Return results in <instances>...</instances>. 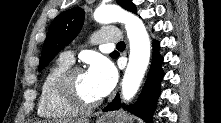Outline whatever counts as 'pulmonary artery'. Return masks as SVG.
<instances>
[{
  "label": "pulmonary artery",
  "instance_id": "pulmonary-artery-1",
  "mask_svg": "<svg viewBox=\"0 0 221 123\" xmlns=\"http://www.w3.org/2000/svg\"><path fill=\"white\" fill-rule=\"evenodd\" d=\"M94 40L98 43H114L120 40V35L116 28H104L95 34ZM60 58L71 63L73 61V53L65 51L61 54Z\"/></svg>",
  "mask_w": 221,
  "mask_h": 123
}]
</instances>
